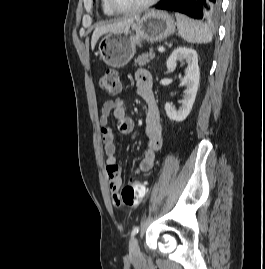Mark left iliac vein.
Wrapping results in <instances>:
<instances>
[{
  "label": "left iliac vein",
  "instance_id": "left-iliac-vein-1",
  "mask_svg": "<svg viewBox=\"0 0 265 269\" xmlns=\"http://www.w3.org/2000/svg\"><path fill=\"white\" fill-rule=\"evenodd\" d=\"M129 256L133 261H137L141 257L138 239L132 237L129 243Z\"/></svg>",
  "mask_w": 265,
  "mask_h": 269
}]
</instances>
